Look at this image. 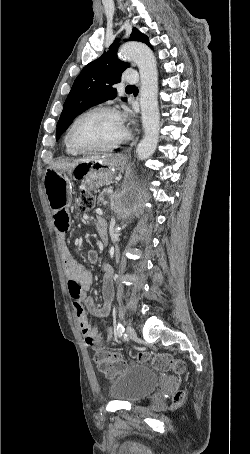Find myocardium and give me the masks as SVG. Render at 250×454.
Instances as JSON below:
<instances>
[{
	"label": "myocardium",
	"mask_w": 250,
	"mask_h": 454,
	"mask_svg": "<svg viewBox=\"0 0 250 454\" xmlns=\"http://www.w3.org/2000/svg\"><path fill=\"white\" fill-rule=\"evenodd\" d=\"M101 111L111 112L120 117L122 126H123V132H122L121 136L118 137L116 140H114L112 143L107 144L105 146L92 147V148L80 147L79 145H77L75 143V141L73 139V133H74V130H75L77 124L86 116L93 114L95 112H101ZM128 138H129V131H128L127 127L125 126L119 112L114 107L107 106V105H98V106L92 107V108L84 111L74 120V122L71 124L69 131H68V143H69L70 147L73 150H75L77 153H97V152L110 151V150H113V149L117 148L118 146H120Z\"/></svg>",
	"instance_id": "obj_1"
}]
</instances>
